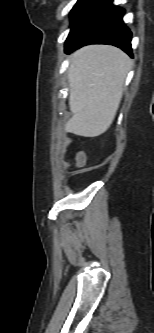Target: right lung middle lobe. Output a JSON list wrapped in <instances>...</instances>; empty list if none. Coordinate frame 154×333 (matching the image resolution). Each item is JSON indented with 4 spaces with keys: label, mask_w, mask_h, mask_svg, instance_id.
<instances>
[{
    "label": "right lung middle lobe",
    "mask_w": 154,
    "mask_h": 333,
    "mask_svg": "<svg viewBox=\"0 0 154 333\" xmlns=\"http://www.w3.org/2000/svg\"><path fill=\"white\" fill-rule=\"evenodd\" d=\"M103 0H78L71 11V35L82 26Z\"/></svg>",
    "instance_id": "obj_1"
}]
</instances>
